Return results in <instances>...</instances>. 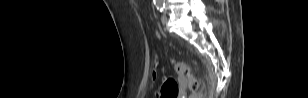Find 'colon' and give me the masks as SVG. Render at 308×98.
Returning <instances> with one entry per match:
<instances>
[{
    "instance_id": "colon-1",
    "label": "colon",
    "mask_w": 308,
    "mask_h": 98,
    "mask_svg": "<svg viewBox=\"0 0 308 98\" xmlns=\"http://www.w3.org/2000/svg\"><path fill=\"white\" fill-rule=\"evenodd\" d=\"M174 68L177 74L186 78L187 85L191 91L190 98H200L201 92L199 91V83L191 74L189 66L182 61H174ZM178 95V84L173 79H167L164 81L159 97L160 98H176Z\"/></svg>"
}]
</instances>
